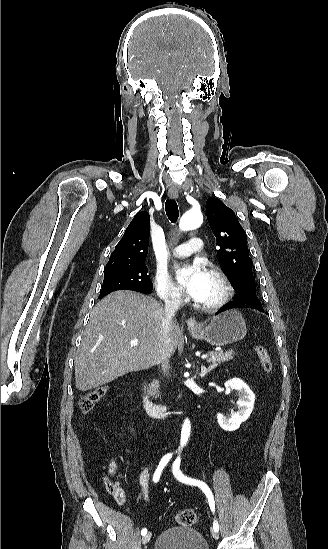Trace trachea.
Here are the masks:
<instances>
[{"label":"trachea","mask_w":328,"mask_h":549,"mask_svg":"<svg viewBox=\"0 0 328 549\" xmlns=\"http://www.w3.org/2000/svg\"><path fill=\"white\" fill-rule=\"evenodd\" d=\"M165 212L168 217V219L175 223L178 220L179 217V210L178 206L175 200H166L165 203Z\"/></svg>","instance_id":"1"}]
</instances>
